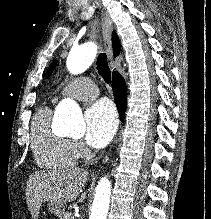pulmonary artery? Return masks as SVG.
Wrapping results in <instances>:
<instances>
[{
  "instance_id": "pulmonary-artery-1",
  "label": "pulmonary artery",
  "mask_w": 211,
  "mask_h": 219,
  "mask_svg": "<svg viewBox=\"0 0 211 219\" xmlns=\"http://www.w3.org/2000/svg\"><path fill=\"white\" fill-rule=\"evenodd\" d=\"M99 95L98 87L88 78H76L66 83L53 98V102L61 97L70 96L78 100H93Z\"/></svg>"
}]
</instances>
